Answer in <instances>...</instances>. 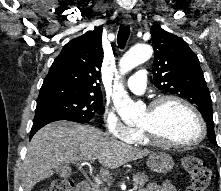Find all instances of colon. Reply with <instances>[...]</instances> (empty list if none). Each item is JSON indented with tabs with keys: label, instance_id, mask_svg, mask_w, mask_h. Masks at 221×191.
I'll use <instances>...</instances> for the list:
<instances>
[{
	"label": "colon",
	"instance_id": "colon-1",
	"mask_svg": "<svg viewBox=\"0 0 221 191\" xmlns=\"http://www.w3.org/2000/svg\"><path fill=\"white\" fill-rule=\"evenodd\" d=\"M182 164L191 179L185 191H207L212 174L205 161L197 156H187ZM73 185L72 178H59L44 191H72Z\"/></svg>",
	"mask_w": 221,
	"mask_h": 191
}]
</instances>
